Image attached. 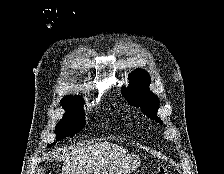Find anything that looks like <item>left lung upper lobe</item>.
<instances>
[{
    "label": "left lung upper lobe",
    "mask_w": 224,
    "mask_h": 174,
    "mask_svg": "<svg viewBox=\"0 0 224 174\" xmlns=\"http://www.w3.org/2000/svg\"><path fill=\"white\" fill-rule=\"evenodd\" d=\"M129 80V87L122 88L123 96L132 105L141 107L143 113L149 118L162 124L161 119L157 116L159 99L149 89L151 82L149 74L145 70L135 69L129 75Z\"/></svg>",
    "instance_id": "1"
}]
</instances>
